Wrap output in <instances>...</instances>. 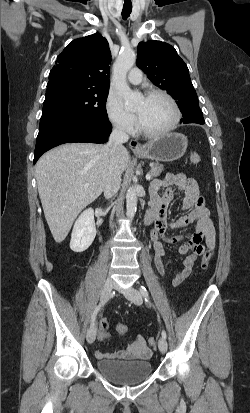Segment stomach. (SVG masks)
Wrapping results in <instances>:
<instances>
[{
  "mask_svg": "<svg viewBox=\"0 0 250 413\" xmlns=\"http://www.w3.org/2000/svg\"><path fill=\"white\" fill-rule=\"evenodd\" d=\"M187 137L181 133L164 134L145 145V150L136 152L138 157L162 162L181 158L186 152Z\"/></svg>",
  "mask_w": 250,
  "mask_h": 413,
  "instance_id": "stomach-1",
  "label": "stomach"
}]
</instances>
